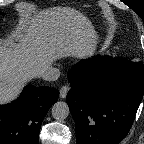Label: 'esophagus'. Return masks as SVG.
Wrapping results in <instances>:
<instances>
[{
  "mask_svg": "<svg viewBox=\"0 0 144 144\" xmlns=\"http://www.w3.org/2000/svg\"><path fill=\"white\" fill-rule=\"evenodd\" d=\"M69 89L70 88H69L68 85L62 86L61 89H60V97L63 98V99L66 98Z\"/></svg>",
  "mask_w": 144,
  "mask_h": 144,
  "instance_id": "obj_1",
  "label": "esophagus"
}]
</instances>
